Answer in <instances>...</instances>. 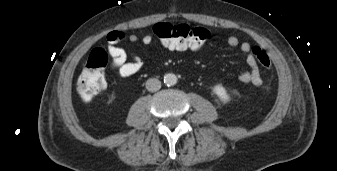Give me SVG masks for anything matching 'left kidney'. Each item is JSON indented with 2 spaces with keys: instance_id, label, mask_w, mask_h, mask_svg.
<instances>
[{
  "instance_id": "left-kidney-1",
  "label": "left kidney",
  "mask_w": 337,
  "mask_h": 171,
  "mask_svg": "<svg viewBox=\"0 0 337 171\" xmlns=\"http://www.w3.org/2000/svg\"><path fill=\"white\" fill-rule=\"evenodd\" d=\"M213 92L219 97V99L223 102V103H227L230 100V96L228 95L226 89L218 84L215 85L213 88Z\"/></svg>"
}]
</instances>
